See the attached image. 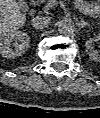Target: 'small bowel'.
<instances>
[{
  "label": "small bowel",
  "mask_w": 100,
  "mask_h": 118,
  "mask_svg": "<svg viewBox=\"0 0 100 118\" xmlns=\"http://www.w3.org/2000/svg\"><path fill=\"white\" fill-rule=\"evenodd\" d=\"M76 7L83 13L92 14L98 9L99 5L96 2L90 3L85 0H76Z\"/></svg>",
  "instance_id": "obj_1"
}]
</instances>
